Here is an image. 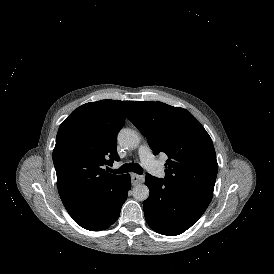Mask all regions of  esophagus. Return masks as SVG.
I'll return each mask as SVG.
<instances>
[{"instance_id": "34e87169", "label": "esophagus", "mask_w": 274, "mask_h": 274, "mask_svg": "<svg viewBox=\"0 0 274 274\" xmlns=\"http://www.w3.org/2000/svg\"><path fill=\"white\" fill-rule=\"evenodd\" d=\"M145 180L144 176L132 173L131 174V183L133 186L143 183Z\"/></svg>"}]
</instances>
